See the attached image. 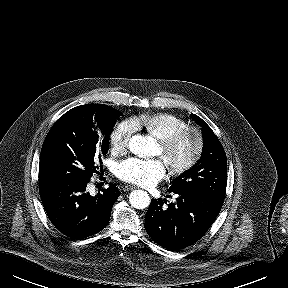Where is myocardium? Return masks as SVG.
Returning a JSON list of instances; mask_svg holds the SVG:
<instances>
[{
  "label": "myocardium",
  "instance_id": "myocardium-1",
  "mask_svg": "<svg viewBox=\"0 0 288 288\" xmlns=\"http://www.w3.org/2000/svg\"><path fill=\"white\" fill-rule=\"evenodd\" d=\"M193 136L195 140V146L192 154L189 158L184 161H174L171 157V153L175 145L185 136ZM163 149V157L168 165L170 172L174 175H180L191 169L199 161L203 148H204V137L201 130L193 125L183 126L165 137L159 139Z\"/></svg>",
  "mask_w": 288,
  "mask_h": 288
}]
</instances>
